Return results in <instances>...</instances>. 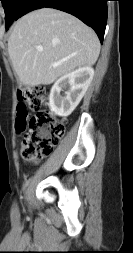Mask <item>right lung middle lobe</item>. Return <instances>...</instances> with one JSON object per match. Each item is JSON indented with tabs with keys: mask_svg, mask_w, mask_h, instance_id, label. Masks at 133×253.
I'll list each match as a JSON object with an SVG mask.
<instances>
[{
	"mask_svg": "<svg viewBox=\"0 0 133 253\" xmlns=\"http://www.w3.org/2000/svg\"><path fill=\"white\" fill-rule=\"evenodd\" d=\"M2 1L5 10L6 30L10 27L12 22L16 20L19 9L24 0H0Z\"/></svg>",
	"mask_w": 133,
	"mask_h": 253,
	"instance_id": "dd1d6c3e",
	"label": "right lung middle lobe"
}]
</instances>
